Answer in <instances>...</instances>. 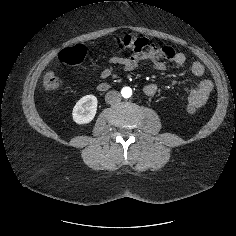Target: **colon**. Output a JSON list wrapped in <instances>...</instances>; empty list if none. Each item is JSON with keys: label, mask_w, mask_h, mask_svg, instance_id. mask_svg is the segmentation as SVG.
Wrapping results in <instances>:
<instances>
[{"label": "colon", "mask_w": 236, "mask_h": 236, "mask_svg": "<svg viewBox=\"0 0 236 236\" xmlns=\"http://www.w3.org/2000/svg\"><path fill=\"white\" fill-rule=\"evenodd\" d=\"M111 43L135 53L149 52L155 49V44L151 40L129 34L114 37ZM87 53V48L84 45L77 44L63 49L59 53V60L64 64L76 66L83 62ZM61 85V79L53 72L47 73L43 79V87L47 91L58 90ZM188 110L190 112L196 111L191 106L188 107Z\"/></svg>", "instance_id": "5ec220e1"}]
</instances>
